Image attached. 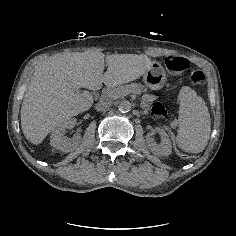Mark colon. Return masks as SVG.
<instances>
[{
    "instance_id": "colon-1",
    "label": "colon",
    "mask_w": 236,
    "mask_h": 236,
    "mask_svg": "<svg viewBox=\"0 0 236 236\" xmlns=\"http://www.w3.org/2000/svg\"><path fill=\"white\" fill-rule=\"evenodd\" d=\"M166 68L173 73H183L189 67V62L181 56H166L164 59ZM189 79L193 84H201L205 81L203 71L196 67L189 74ZM151 114L155 117L162 118L166 115V107L162 101L156 100L151 108Z\"/></svg>"
}]
</instances>
